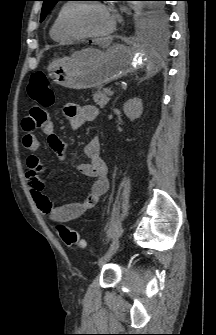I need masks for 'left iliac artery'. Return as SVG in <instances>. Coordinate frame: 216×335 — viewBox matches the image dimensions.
<instances>
[{"label": "left iliac artery", "mask_w": 216, "mask_h": 335, "mask_svg": "<svg viewBox=\"0 0 216 335\" xmlns=\"http://www.w3.org/2000/svg\"><path fill=\"white\" fill-rule=\"evenodd\" d=\"M119 247V240L118 238H114L110 243L109 247L107 248L105 254L107 253H114Z\"/></svg>", "instance_id": "1"}]
</instances>
